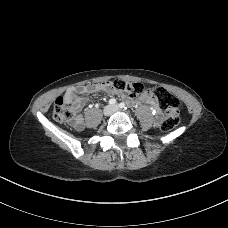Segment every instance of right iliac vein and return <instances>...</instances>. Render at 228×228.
Masks as SVG:
<instances>
[{
	"mask_svg": "<svg viewBox=\"0 0 228 228\" xmlns=\"http://www.w3.org/2000/svg\"><path fill=\"white\" fill-rule=\"evenodd\" d=\"M111 113H112V107L111 106L108 105V106L104 107V109H103V115L104 116H110Z\"/></svg>",
	"mask_w": 228,
	"mask_h": 228,
	"instance_id": "63e3f726",
	"label": "right iliac vein"
}]
</instances>
